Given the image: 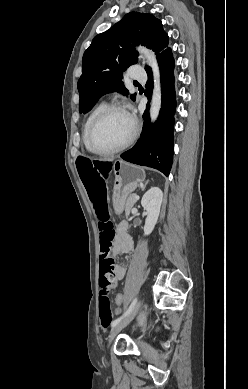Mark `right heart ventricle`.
<instances>
[{"label":"right heart ventricle","mask_w":248,"mask_h":389,"mask_svg":"<svg viewBox=\"0 0 248 389\" xmlns=\"http://www.w3.org/2000/svg\"><path fill=\"white\" fill-rule=\"evenodd\" d=\"M105 106V104L103 102L101 103H98L97 105L94 106V108L90 111V113L88 114L86 120H85V123H84V126H83V134H82V137H83V143L85 145V147L89 150V146H88V141H87V136H88V130H89V126L92 122V120L94 119V117L96 116V114ZM92 152V151H91Z\"/></svg>","instance_id":"1"}]
</instances>
